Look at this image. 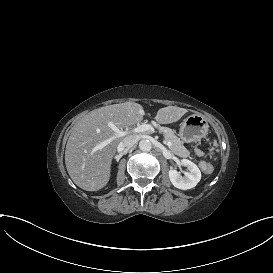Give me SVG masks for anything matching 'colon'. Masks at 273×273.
<instances>
[{"label": "colon", "instance_id": "1", "mask_svg": "<svg viewBox=\"0 0 273 273\" xmlns=\"http://www.w3.org/2000/svg\"><path fill=\"white\" fill-rule=\"evenodd\" d=\"M216 155V151H213L212 156L214 157Z\"/></svg>", "mask_w": 273, "mask_h": 273}]
</instances>
